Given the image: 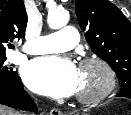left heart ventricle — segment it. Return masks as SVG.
<instances>
[{"mask_svg": "<svg viewBox=\"0 0 131 115\" xmlns=\"http://www.w3.org/2000/svg\"><path fill=\"white\" fill-rule=\"evenodd\" d=\"M105 83L104 72L95 65H89L79 70L78 94H92L102 88Z\"/></svg>", "mask_w": 131, "mask_h": 115, "instance_id": "obj_1", "label": "left heart ventricle"}]
</instances>
